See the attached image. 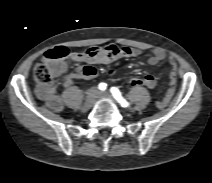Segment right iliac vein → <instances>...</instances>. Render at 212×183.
<instances>
[{
    "label": "right iliac vein",
    "instance_id": "1",
    "mask_svg": "<svg viewBox=\"0 0 212 183\" xmlns=\"http://www.w3.org/2000/svg\"><path fill=\"white\" fill-rule=\"evenodd\" d=\"M99 97V92L97 89H90L86 95L85 102L83 104V109L87 110L93 106L96 99Z\"/></svg>",
    "mask_w": 212,
    "mask_h": 183
}]
</instances>
